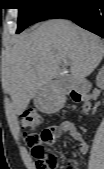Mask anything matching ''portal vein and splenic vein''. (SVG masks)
Instances as JSON below:
<instances>
[{
	"instance_id": "obj_1",
	"label": "portal vein and splenic vein",
	"mask_w": 104,
	"mask_h": 169,
	"mask_svg": "<svg viewBox=\"0 0 104 169\" xmlns=\"http://www.w3.org/2000/svg\"><path fill=\"white\" fill-rule=\"evenodd\" d=\"M64 65H69V63L67 61H63Z\"/></svg>"
}]
</instances>
